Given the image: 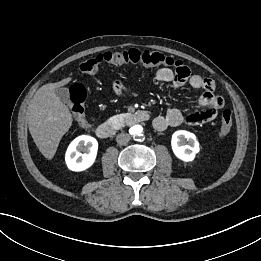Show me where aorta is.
<instances>
[{
	"label": "aorta",
	"mask_w": 261,
	"mask_h": 261,
	"mask_svg": "<svg viewBox=\"0 0 261 261\" xmlns=\"http://www.w3.org/2000/svg\"><path fill=\"white\" fill-rule=\"evenodd\" d=\"M130 132L135 138H140L143 133V127L141 125H134L131 127Z\"/></svg>",
	"instance_id": "1"
}]
</instances>
